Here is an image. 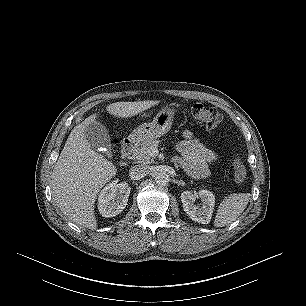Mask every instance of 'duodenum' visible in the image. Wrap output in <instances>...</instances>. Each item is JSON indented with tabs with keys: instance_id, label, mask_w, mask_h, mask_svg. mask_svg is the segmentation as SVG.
I'll list each match as a JSON object with an SVG mask.
<instances>
[{
	"instance_id": "obj_1",
	"label": "duodenum",
	"mask_w": 306,
	"mask_h": 306,
	"mask_svg": "<svg viewBox=\"0 0 306 306\" xmlns=\"http://www.w3.org/2000/svg\"><path fill=\"white\" fill-rule=\"evenodd\" d=\"M135 148V142L133 140H125L121 146V157L127 159Z\"/></svg>"
}]
</instances>
